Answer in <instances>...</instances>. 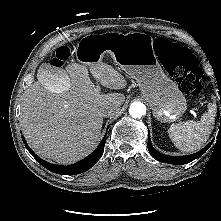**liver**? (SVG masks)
I'll use <instances>...</instances> for the list:
<instances>
[{
    "label": "liver",
    "mask_w": 221,
    "mask_h": 221,
    "mask_svg": "<svg viewBox=\"0 0 221 221\" xmlns=\"http://www.w3.org/2000/svg\"><path fill=\"white\" fill-rule=\"evenodd\" d=\"M50 68L42 64L38 81L25 90L21 126L38 155L59 164H71L95 148L103 124L102 109L112 104L122 105L125 95L100 93L84 65L72 63L60 77ZM90 70L105 87L118 90L126 86L123 76L102 61L93 64Z\"/></svg>",
    "instance_id": "6515ba94"
}]
</instances>
